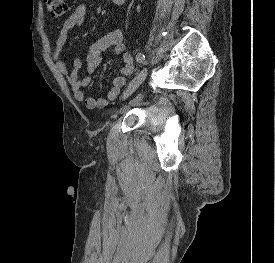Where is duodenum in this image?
Listing matches in <instances>:
<instances>
[{
  "mask_svg": "<svg viewBox=\"0 0 275 263\" xmlns=\"http://www.w3.org/2000/svg\"><path fill=\"white\" fill-rule=\"evenodd\" d=\"M126 0H113L116 5H123Z\"/></svg>",
  "mask_w": 275,
  "mask_h": 263,
  "instance_id": "obj_1",
  "label": "duodenum"
}]
</instances>
